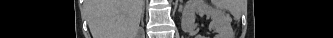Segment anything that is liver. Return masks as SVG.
Here are the masks:
<instances>
[{
	"label": "liver",
	"instance_id": "liver-1",
	"mask_svg": "<svg viewBox=\"0 0 333 38\" xmlns=\"http://www.w3.org/2000/svg\"><path fill=\"white\" fill-rule=\"evenodd\" d=\"M144 0H87L93 38H136Z\"/></svg>",
	"mask_w": 333,
	"mask_h": 38
}]
</instances>
